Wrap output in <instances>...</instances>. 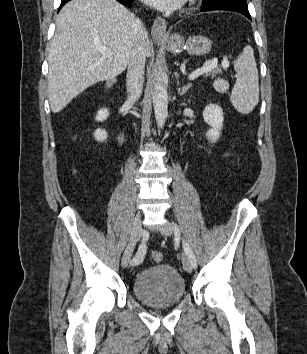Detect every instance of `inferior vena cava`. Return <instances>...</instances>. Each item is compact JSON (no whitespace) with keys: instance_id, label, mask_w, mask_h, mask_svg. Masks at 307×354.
<instances>
[{"instance_id":"inferior-vena-cava-1","label":"inferior vena cava","mask_w":307,"mask_h":354,"mask_svg":"<svg viewBox=\"0 0 307 354\" xmlns=\"http://www.w3.org/2000/svg\"><path fill=\"white\" fill-rule=\"evenodd\" d=\"M136 40L132 49L126 77L128 99L136 102L142 94L145 69V44L148 38L147 32L139 19L135 22Z\"/></svg>"}]
</instances>
